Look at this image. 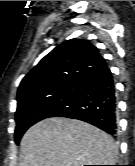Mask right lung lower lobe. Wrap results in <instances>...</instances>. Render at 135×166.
I'll list each match as a JSON object with an SVG mask.
<instances>
[{
  "label": "right lung lower lobe",
  "instance_id": "right-lung-lower-lobe-1",
  "mask_svg": "<svg viewBox=\"0 0 135 166\" xmlns=\"http://www.w3.org/2000/svg\"><path fill=\"white\" fill-rule=\"evenodd\" d=\"M70 104L51 117L88 122L112 136L117 134V101L113 76L107 64L86 74L73 85Z\"/></svg>",
  "mask_w": 135,
  "mask_h": 166
}]
</instances>
